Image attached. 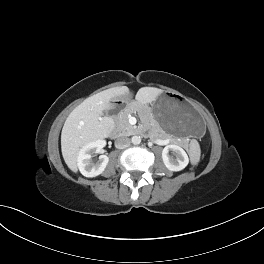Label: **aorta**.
I'll return each mask as SVG.
<instances>
[{"label": "aorta", "instance_id": "aorta-1", "mask_svg": "<svg viewBox=\"0 0 264 264\" xmlns=\"http://www.w3.org/2000/svg\"><path fill=\"white\" fill-rule=\"evenodd\" d=\"M131 142L134 144V145H138L141 143V137L140 136H133L131 138Z\"/></svg>", "mask_w": 264, "mask_h": 264}]
</instances>
